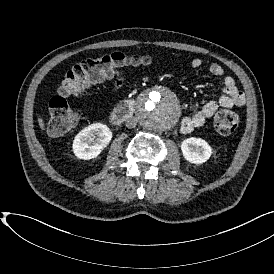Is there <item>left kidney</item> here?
<instances>
[{"mask_svg": "<svg viewBox=\"0 0 274 274\" xmlns=\"http://www.w3.org/2000/svg\"><path fill=\"white\" fill-rule=\"evenodd\" d=\"M180 147L183 158L191 164L201 165L212 156V147L202 138H186L181 142Z\"/></svg>", "mask_w": 274, "mask_h": 274, "instance_id": "5707ae66", "label": "left kidney"}]
</instances>
